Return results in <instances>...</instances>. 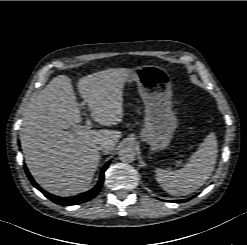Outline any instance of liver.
<instances>
[{
  "label": "liver",
  "mask_w": 247,
  "mask_h": 245,
  "mask_svg": "<svg viewBox=\"0 0 247 245\" xmlns=\"http://www.w3.org/2000/svg\"><path fill=\"white\" fill-rule=\"evenodd\" d=\"M129 69L112 68L81 78L78 91L94 121L117 125L123 118V88ZM81 122L71 79L53 78L26 109L20 140L26 165L36 182L47 192L71 196L91 184L101 156L99 145H116L121 132L75 129Z\"/></svg>",
  "instance_id": "liver-1"
}]
</instances>
